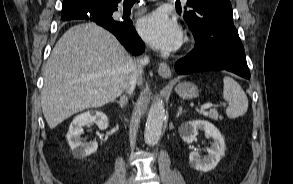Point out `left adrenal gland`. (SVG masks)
Here are the masks:
<instances>
[{
	"mask_svg": "<svg viewBox=\"0 0 293 184\" xmlns=\"http://www.w3.org/2000/svg\"><path fill=\"white\" fill-rule=\"evenodd\" d=\"M185 112H186V111H183L182 106L178 107V112H177L176 117L178 118L180 115H182V113H185Z\"/></svg>",
	"mask_w": 293,
	"mask_h": 184,
	"instance_id": "a2214340",
	"label": "left adrenal gland"
}]
</instances>
